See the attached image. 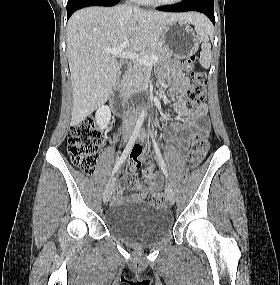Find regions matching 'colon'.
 <instances>
[{
  "label": "colon",
  "instance_id": "5ec220e1",
  "mask_svg": "<svg viewBox=\"0 0 280 285\" xmlns=\"http://www.w3.org/2000/svg\"><path fill=\"white\" fill-rule=\"evenodd\" d=\"M195 57L191 56L184 61V67L190 72L191 87L187 91V100L193 106H199L205 98L207 78L205 73L194 71ZM206 132H195L190 140V153L192 165L199 164L205 157L209 142ZM103 143L102 130L97 126L95 120L87 119L73 125L70 129L68 139V153L72 163L86 174H93L98 159V152ZM142 150L134 148L131 153L132 159H139ZM146 178H151L153 172L144 169ZM150 200L155 203H165L166 197L163 193L154 194Z\"/></svg>",
  "mask_w": 280,
  "mask_h": 285
}]
</instances>
